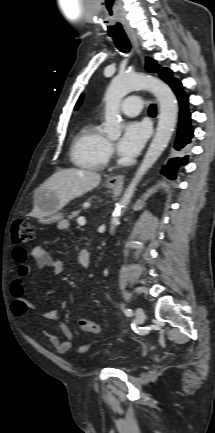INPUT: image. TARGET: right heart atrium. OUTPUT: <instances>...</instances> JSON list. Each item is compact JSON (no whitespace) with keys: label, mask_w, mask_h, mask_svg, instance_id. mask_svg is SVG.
<instances>
[{"label":"right heart atrium","mask_w":215,"mask_h":433,"mask_svg":"<svg viewBox=\"0 0 215 433\" xmlns=\"http://www.w3.org/2000/svg\"><path fill=\"white\" fill-rule=\"evenodd\" d=\"M107 150H108V154H109V155H111V154L113 153V147H112L111 144H108V148H107Z\"/></svg>","instance_id":"right-heart-atrium-1"}]
</instances>
